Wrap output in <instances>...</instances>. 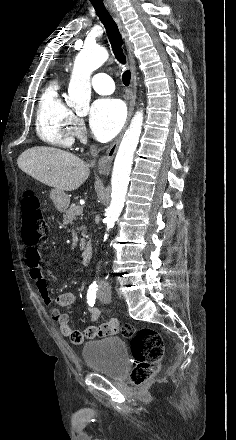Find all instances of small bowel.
I'll use <instances>...</instances> for the list:
<instances>
[{
	"instance_id": "c3829d8e",
	"label": "small bowel",
	"mask_w": 236,
	"mask_h": 440,
	"mask_svg": "<svg viewBox=\"0 0 236 440\" xmlns=\"http://www.w3.org/2000/svg\"><path fill=\"white\" fill-rule=\"evenodd\" d=\"M25 260L29 270L30 278L35 282L38 293L46 305H51L53 302L59 307H68L74 303L75 295L72 292L66 291L60 293L55 299H52L48 282L43 274L41 266V257L39 249L35 245H26ZM79 273V271H76ZM53 280H58L56 276L51 275ZM87 309L92 321L98 319L100 312L97 308L87 305ZM51 317L58 324L62 336L70 338L75 345L82 344L86 339H98L103 342L105 339H114L115 331L118 329V322L116 320L99 321L98 324H89L84 331L75 330L71 324L68 314L63 313L59 308L53 307L51 309Z\"/></svg>"
}]
</instances>
